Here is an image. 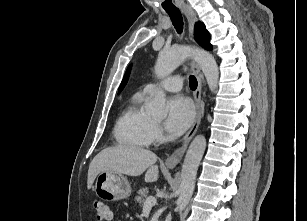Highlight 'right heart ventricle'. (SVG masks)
<instances>
[{
	"label": "right heart ventricle",
	"mask_w": 307,
	"mask_h": 221,
	"mask_svg": "<svg viewBox=\"0 0 307 221\" xmlns=\"http://www.w3.org/2000/svg\"><path fill=\"white\" fill-rule=\"evenodd\" d=\"M145 94L132 96L114 127V138L117 144L145 148L154 140V120L143 107Z\"/></svg>",
	"instance_id": "1"
}]
</instances>
